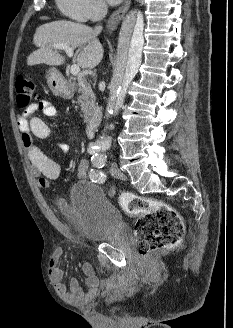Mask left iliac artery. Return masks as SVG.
I'll return each instance as SVG.
<instances>
[{"instance_id":"left-iliac-artery-1","label":"left iliac artery","mask_w":233,"mask_h":328,"mask_svg":"<svg viewBox=\"0 0 233 328\" xmlns=\"http://www.w3.org/2000/svg\"><path fill=\"white\" fill-rule=\"evenodd\" d=\"M107 148H104L105 151ZM107 156L103 153H95L92 158V164L95 168H92L89 172L90 179L92 182L104 183L106 179L105 173L101 170L106 163Z\"/></svg>"}]
</instances>
